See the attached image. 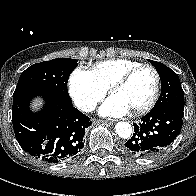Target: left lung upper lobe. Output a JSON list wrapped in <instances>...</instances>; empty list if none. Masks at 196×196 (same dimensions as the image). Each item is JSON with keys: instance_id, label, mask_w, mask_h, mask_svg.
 <instances>
[{"instance_id": "left-lung-upper-lobe-1", "label": "left lung upper lobe", "mask_w": 196, "mask_h": 196, "mask_svg": "<svg viewBox=\"0 0 196 196\" xmlns=\"http://www.w3.org/2000/svg\"><path fill=\"white\" fill-rule=\"evenodd\" d=\"M157 70L161 79V94L153 109L165 106L184 108V91L178 75L166 65L148 60Z\"/></svg>"}]
</instances>
